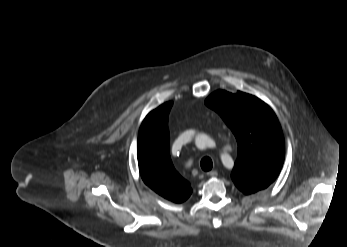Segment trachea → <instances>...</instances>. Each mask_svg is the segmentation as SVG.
<instances>
[{
  "instance_id": "trachea-1",
  "label": "trachea",
  "mask_w": 347,
  "mask_h": 247,
  "mask_svg": "<svg viewBox=\"0 0 347 247\" xmlns=\"http://www.w3.org/2000/svg\"><path fill=\"white\" fill-rule=\"evenodd\" d=\"M200 165H201L202 170H204V171H210L213 167L212 160L209 157H204L201 160Z\"/></svg>"
}]
</instances>
